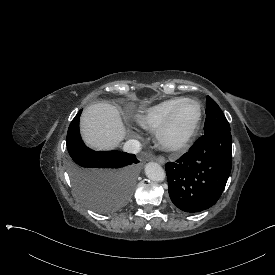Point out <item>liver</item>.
Wrapping results in <instances>:
<instances>
[{
    "label": "liver",
    "mask_w": 275,
    "mask_h": 275,
    "mask_svg": "<svg viewBox=\"0 0 275 275\" xmlns=\"http://www.w3.org/2000/svg\"><path fill=\"white\" fill-rule=\"evenodd\" d=\"M80 129L85 143L97 150L118 147L126 134L117 108L105 103L93 104L83 111Z\"/></svg>",
    "instance_id": "1"
}]
</instances>
